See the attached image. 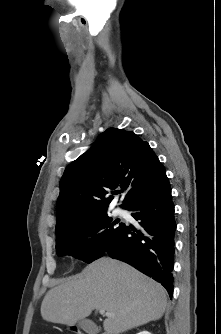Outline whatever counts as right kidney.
<instances>
[{"instance_id": "right-kidney-1", "label": "right kidney", "mask_w": 221, "mask_h": 334, "mask_svg": "<svg viewBox=\"0 0 221 334\" xmlns=\"http://www.w3.org/2000/svg\"><path fill=\"white\" fill-rule=\"evenodd\" d=\"M137 334H151V333L148 332V331H142V332H139V333H137Z\"/></svg>"}]
</instances>
